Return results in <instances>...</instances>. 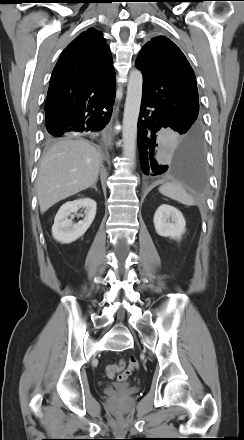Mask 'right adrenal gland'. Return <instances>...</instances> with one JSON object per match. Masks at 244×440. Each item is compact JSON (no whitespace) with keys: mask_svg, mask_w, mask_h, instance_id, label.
I'll use <instances>...</instances> for the list:
<instances>
[{"mask_svg":"<svg viewBox=\"0 0 244 440\" xmlns=\"http://www.w3.org/2000/svg\"><path fill=\"white\" fill-rule=\"evenodd\" d=\"M96 183H97V182H95V183L91 186V189H95V191H98V189H97V187H96Z\"/></svg>","mask_w":244,"mask_h":440,"instance_id":"2a0ac1e0","label":"right adrenal gland"}]
</instances>
